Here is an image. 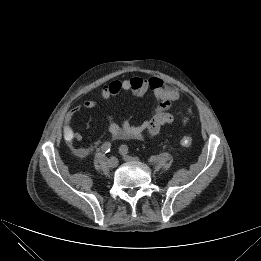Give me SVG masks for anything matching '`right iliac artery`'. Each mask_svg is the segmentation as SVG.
<instances>
[{
	"instance_id": "right-iliac-artery-1",
	"label": "right iliac artery",
	"mask_w": 261,
	"mask_h": 261,
	"mask_svg": "<svg viewBox=\"0 0 261 261\" xmlns=\"http://www.w3.org/2000/svg\"><path fill=\"white\" fill-rule=\"evenodd\" d=\"M111 146H112V145H111L110 142H105V143L102 144V146H101V151L106 154V153L110 152Z\"/></svg>"
}]
</instances>
